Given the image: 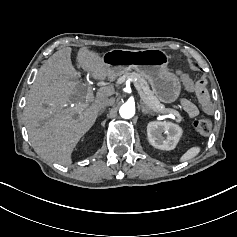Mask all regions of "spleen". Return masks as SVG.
Wrapping results in <instances>:
<instances>
[{
    "mask_svg": "<svg viewBox=\"0 0 237 237\" xmlns=\"http://www.w3.org/2000/svg\"><path fill=\"white\" fill-rule=\"evenodd\" d=\"M202 148L201 146L197 145V146H193L190 147L187 151H185L179 158V163H184L187 162L193 158H195L196 156L199 155V153L201 152Z\"/></svg>",
    "mask_w": 237,
    "mask_h": 237,
    "instance_id": "1",
    "label": "spleen"
}]
</instances>
